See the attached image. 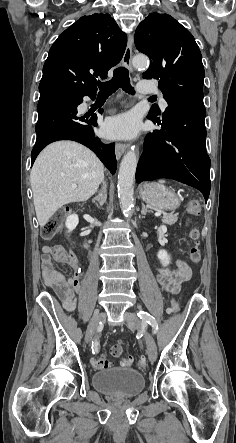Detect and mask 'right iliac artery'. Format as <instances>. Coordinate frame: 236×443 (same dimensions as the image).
<instances>
[{"instance_id":"82829eb1","label":"right iliac artery","mask_w":236,"mask_h":443,"mask_svg":"<svg viewBox=\"0 0 236 443\" xmlns=\"http://www.w3.org/2000/svg\"><path fill=\"white\" fill-rule=\"evenodd\" d=\"M98 351H99V343H98V341L95 339V340L92 342V353L95 354V353H98Z\"/></svg>"}]
</instances>
